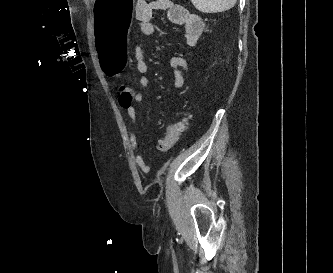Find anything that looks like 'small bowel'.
Here are the masks:
<instances>
[{
	"instance_id": "obj_1",
	"label": "small bowel",
	"mask_w": 333,
	"mask_h": 273,
	"mask_svg": "<svg viewBox=\"0 0 333 273\" xmlns=\"http://www.w3.org/2000/svg\"><path fill=\"white\" fill-rule=\"evenodd\" d=\"M160 11L167 14L168 20L172 24L182 26L184 28L186 40L189 45H197L204 29V22L202 18L199 15L190 12L181 4L173 2L172 0H139L137 2L135 8V17L138 21L142 34L154 35L159 32V27L154 21V14ZM134 58L136 69L141 74V77L139 78V86L143 89H148L151 85L150 79L148 76H146L149 66L140 44H136L135 46ZM169 65L173 74L174 87L177 90L183 89L185 85L183 72L191 71L189 62L183 57L173 56L169 60ZM132 99L133 108L124 109L132 125V128L129 132V141L136 165L145 172L148 170V165L138 149L136 135V128L138 126V113L134 106V103H141L144 97L141 93H135L133 94Z\"/></svg>"
}]
</instances>
